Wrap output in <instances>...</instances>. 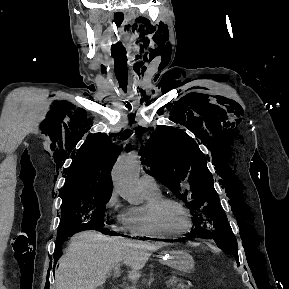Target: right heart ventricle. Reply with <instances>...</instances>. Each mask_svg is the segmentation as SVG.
I'll list each match as a JSON object with an SVG mask.
<instances>
[{"mask_svg": "<svg viewBox=\"0 0 289 289\" xmlns=\"http://www.w3.org/2000/svg\"><path fill=\"white\" fill-rule=\"evenodd\" d=\"M146 203L143 206L132 207L127 210L128 231L132 236L149 237V238H164L155 232L149 225L146 218L145 206L148 202L160 197V193H150L144 191Z\"/></svg>", "mask_w": 289, "mask_h": 289, "instance_id": "obj_1", "label": "right heart ventricle"}]
</instances>
